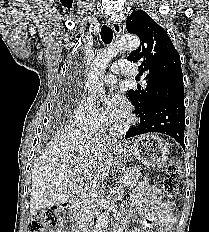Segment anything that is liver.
<instances>
[{
  "label": "liver",
  "mask_w": 209,
  "mask_h": 232,
  "mask_svg": "<svg viewBox=\"0 0 209 232\" xmlns=\"http://www.w3.org/2000/svg\"><path fill=\"white\" fill-rule=\"evenodd\" d=\"M112 144L77 129L58 132L34 162L30 213L68 201L94 176L105 179L115 164Z\"/></svg>",
  "instance_id": "obj_1"
}]
</instances>
